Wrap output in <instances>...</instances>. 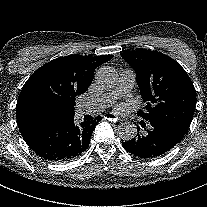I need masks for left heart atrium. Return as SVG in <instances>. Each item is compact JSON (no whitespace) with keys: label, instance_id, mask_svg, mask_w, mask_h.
Here are the masks:
<instances>
[{"label":"left heart atrium","instance_id":"obj_1","mask_svg":"<svg viewBox=\"0 0 207 207\" xmlns=\"http://www.w3.org/2000/svg\"><path fill=\"white\" fill-rule=\"evenodd\" d=\"M117 109H119V110H124V106H123V105H118V106H117Z\"/></svg>","mask_w":207,"mask_h":207}]
</instances>
